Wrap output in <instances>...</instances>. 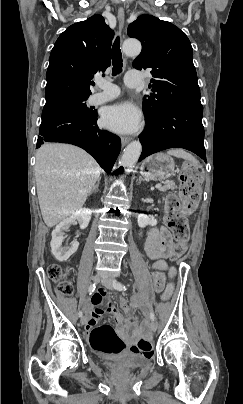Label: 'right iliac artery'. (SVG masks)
<instances>
[{"label":"right iliac artery","mask_w":243,"mask_h":404,"mask_svg":"<svg viewBox=\"0 0 243 404\" xmlns=\"http://www.w3.org/2000/svg\"><path fill=\"white\" fill-rule=\"evenodd\" d=\"M95 288H96V283L91 284L88 288L89 294H92L94 292ZM78 315H79V317H82V315H83L82 311H79Z\"/></svg>","instance_id":"1"}]
</instances>
